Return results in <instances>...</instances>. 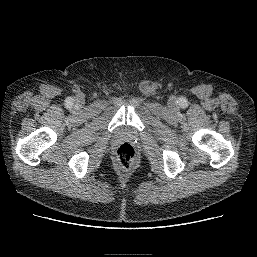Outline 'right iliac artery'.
Masks as SVG:
<instances>
[{
	"label": "right iliac artery",
	"instance_id": "82829eb1",
	"mask_svg": "<svg viewBox=\"0 0 257 257\" xmlns=\"http://www.w3.org/2000/svg\"><path fill=\"white\" fill-rule=\"evenodd\" d=\"M66 102H67V104L71 105L72 102H73V101H72V98H68Z\"/></svg>",
	"mask_w": 257,
	"mask_h": 257
}]
</instances>
